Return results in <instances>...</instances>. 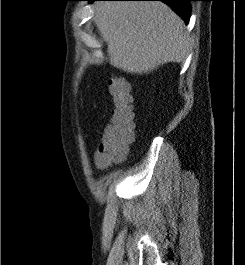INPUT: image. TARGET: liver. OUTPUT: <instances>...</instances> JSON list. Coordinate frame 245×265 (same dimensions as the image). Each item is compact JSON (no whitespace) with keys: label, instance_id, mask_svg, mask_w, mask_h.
Masks as SVG:
<instances>
[{"label":"liver","instance_id":"6515ba94","mask_svg":"<svg viewBox=\"0 0 245 265\" xmlns=\"http://www.w3.org/2000/svg\"><path fill=\"white\" fill-rule=\"evenodd\" d=\"M94 20L108 42L111 63L123 71L148 74L186 58L189 38L185 23L162 2H96Z\"/></svg>","mask_w":245,"mask_h":265}]
</instances>
